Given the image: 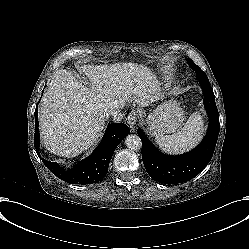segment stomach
<instances>
[{
  "mask_svg": "<svg viewBox=\"0 0 249 249\" xmlns=\"http://www.w3.org/2000/svg\"><path fill=\"white\" fill-rule=\"evenodd\" d=\"M185 118L180 105L173 100L163 102L147 115L145 122L151 136L174 133L181 127Z\"/></svg>",
  "mask_w": 249,
  "mask_h": 249,
  "instance_id": "0dacf381",
  "label": "stomach"
}]
</instances>
